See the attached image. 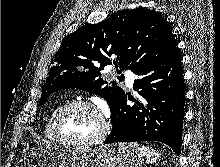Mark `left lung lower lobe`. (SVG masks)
Masks as SVG:
<instances>
[{"mask_svg":"<svg viewBox=\"0 0 220 167\" xmlns=\"http://www.w3.org/2000/svg\"><path fill=\"white\" fill-rule=\"evenodd\" d=\"M134 73L139 76L133 85L138 96L129 99L135 104L128 106L125 94L120 98L111 111L113 128L104 144L160 141L179 155L185 93L178 48Z\"/></svg>","mask_w":220,"mask_h":167,"instance_id":"left-lung-lower-lobe-1","label":"left lung lower lobe"}]
</instances>
